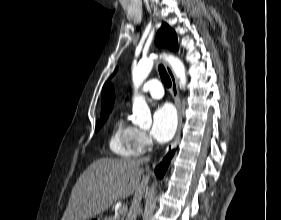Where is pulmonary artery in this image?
<instances>
[{"instance_id":"1","label":"pulmonary artery","mask_w":281,"mask_h":220,"mask_svg":"<svg viewBox=\"0 0 281 220\" xmlns=\"http://www.w3.org/2000/svg\"><path fill=\"white\" fill-rule=\"evenodd\" d=\"M142 92L153 99H160L163 96V87L157 79H151L143 85Z\"/></svg>"}]
</instances>
